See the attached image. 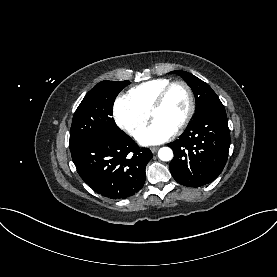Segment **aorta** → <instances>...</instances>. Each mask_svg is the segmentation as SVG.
<instances>
[{
    "label": "aorta",
    "mask_w": 277,
    "mask_h": 277,
    "mask_svg": "<svg viewBox=\"0 0 277 277\" xmlns=\"http://www.w3.org/2000/svg\"><path fill=\"white\" fill-rule=\"evenodd\" d=\"M158 157L162 161H170L173 158V151L169 147H162L158 151Z\"/></svg>",
    "instance_id": "1"
}]
</instances>
